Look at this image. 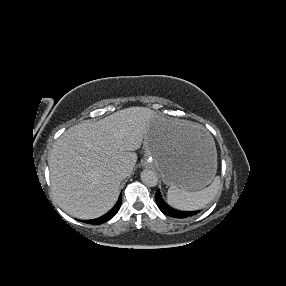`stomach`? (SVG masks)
<instances>
[{"instance_id": "0dacf381", "label": "stomach", "mask_w": 286, "mask_h": 286, "mask_svg": "<svg viewBox=\"0 0 286 286\" xmlns=\"http://www.w3.org/2000/svg\"><path fill=\"white\" fill-rule=\"evenodd\" d=\"M144 146L146 161L155 165L167 185L197 191L216 175V147L200 126L153 120L144 135Z\"/></svg>"}]
</instances>
